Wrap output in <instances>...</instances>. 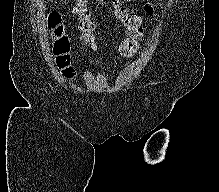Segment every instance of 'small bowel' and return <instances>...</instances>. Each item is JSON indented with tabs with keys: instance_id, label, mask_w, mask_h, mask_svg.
Segmentation results:
<instances>
[{
	"instance_id": "1",
	"label": "small bowel",
	"mask_w": 219,
	"mask_h": 192,
	"mask_svg": "<svg viewBox=\"0 0 219 192\" xmlns=\"http://www.w3.org/2000/svg\"><path fill=\"white\" fill-rule=\"evenodd\" d=\"M136 2V0H113L112 9L116 17L126 26L127 38L135 37L136 39L142 34L140 16L136 13L135 9L131 8L128 4ZM144 11L151 14L153 6L150 2L144 4ZM73 13L79 18V28L82 32V41L95 48L94 27L90 30H86L83 26L84 18H89V11L85 4L76 3L73 9Z\"/></svg>"
}]
</instances>
